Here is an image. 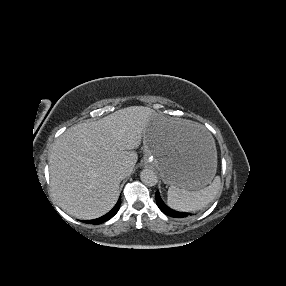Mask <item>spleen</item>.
<instances>
[{
	"label": "spleen",
	"mask_w": 286,
	"mask_h": 286,
	"mask_svg": "<svg viewBox=\"0 0 286 286\" xmlns=\"http://www.w3.org/2000/svg\"><path fill=\"white\" fill-rule=\"evenodd\" d=\"M221 189V180L216 176L213 182L200 190L188 191L171 185L167 193L168 205L178 211H196L206 207L214 200Z\"/></svg>",
	"instance_id": "1"
}]
</instances>
